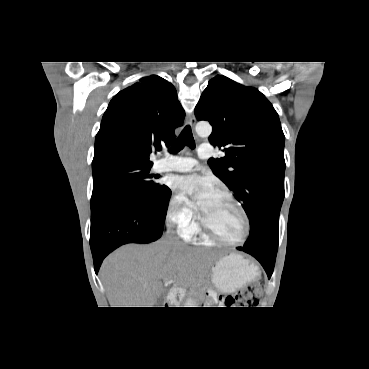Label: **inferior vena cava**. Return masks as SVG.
Here are the masks:
<instances>
[{"mask_svg": "<svg viewBox=\"0 0 369 369\" xmlns=\"http://www.w3.org/2000/svg\"><path fill=\"white\" fill-rule=\"evenodd\" d=\"M174 227V222L171 219H168L166 224V234L164 236L165 240L177 242V237L175 236V231L173 230Z\"/></svg>", "mask_w": 369, "mask_h": 369, "instance_id": "inferior-vena-cava-1", "label": "inferior vena cava"}]
</instances>
